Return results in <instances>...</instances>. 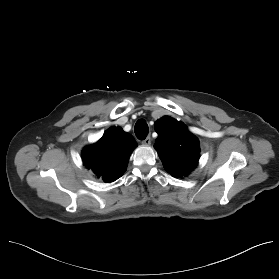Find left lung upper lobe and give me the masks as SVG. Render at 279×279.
Masks as SVG:
<instances>
[{
	"mask_svg": "<svg viewBox=\"0 0 279 279\" xmlns=\"http://www.w3.org/2000/svg\"><path fill=\"white\" fill-rule=\"evenodd\" d=\"M158 137L155 140L164 168L174 177L187 176L198 164L199 141L186 126L171 117L155 123Z\"/></svg>",
	"mask_w": 279,
	"mask_h": 279,
	"instance_id": "obj_1",
	"label": "left lung upper lobe"
}]
</instances>
